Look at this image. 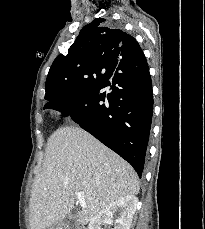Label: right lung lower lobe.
I'll use <instances>...</instances> for the list:
<instances>
[{"label":"right lung lower lobe","mask_w":205,"mask_h":229,"mask_svg":"<svg viewBox=\"0 0 205 229\" xmlns=\"http://www.w3.org/2000/svg\"><path fill=\"white\" fill-rule=\"evenodd\" d=\"M111 80L112 86L106 90ZM45 107L71 117L129 162L141 177L153 112L152 82L144 54L133 66L119 64L104 85L59 98Z\"/></svg>","instance_id":"1"}]
</instances>
